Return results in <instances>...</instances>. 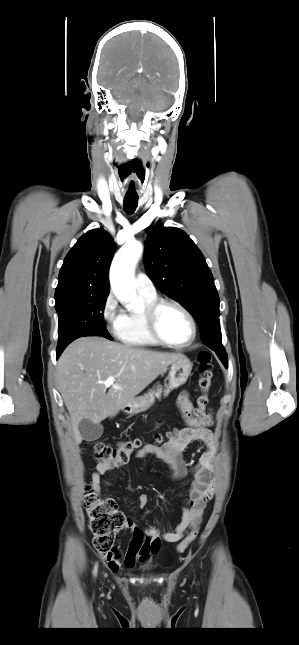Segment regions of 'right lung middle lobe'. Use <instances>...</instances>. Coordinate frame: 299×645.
I'll return each mask as SVG.
<instances>
[{
	"mask_svg": "<svg viewBox=\"0 0 299 645\" xmlns=\"http://www.w3.org/2000/svg\"><path fill=\"white\" fill-rule=\"evenodd\" d=\"M107 296H72L55 304L59 323L57 351H63L69 343L83 336L97 335L112 340L103 318Z\"/></svg>",
	"mask_w": 299,
	"mask_h": 645,
	"instance_id": "1",
	"label": "right lung middle lobe"
}]
</instances>
